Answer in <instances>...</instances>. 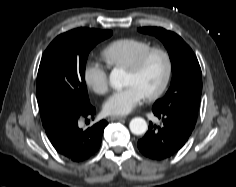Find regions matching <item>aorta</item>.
Returning a JSON list of instances; mask_svg holds the SVG:
<instances>
[{
    "label": "aorta",
    "instance_id": "obj_1",
    "mask_svg": "<svg viewBox=\"0 0 236 187\" xmlns=\"http://www.w3.org/2000/svg\"><path fill=\"white\" fill-rule=\"evenodd\" d=\"M126 73L123 69H113L109 75L110 84L114 89L121 90L126 85ZM130 131L142 135L148 129L147 122L141 117L133 118L129 123Z\"/></svg>",
    "mask_w": 236,
    "mask_h": 187
}]
</instances>
